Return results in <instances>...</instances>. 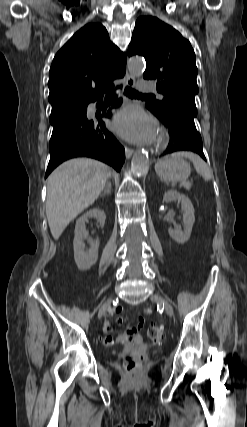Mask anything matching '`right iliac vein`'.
Instances as JSON below:
<instances>
[{"mask_svg":"<svg viewBox=\"0 0 247 427\" xmlns=\"http://www.w3.org/2000/svg\"><path fill=\"white\" fill-rule=\"evenodd\" d=\"M111 302H112L111 298H109V299H107L105 301V303L102 305V307L99 310L98 318H101L103 316V314L105 313V311L110 307Z\"/></svg>","mask_w":247,"mask_h":427,"instance_id":"obj_1","label":"right iliac vein"}]
</instances>
